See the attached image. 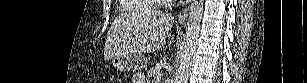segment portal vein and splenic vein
Returning a JSON list of instances; mask_svg holds the SVG:
<instances>
[{
  "mask_svg": "<svg viewBox=\"0 0 307 83\" xmlns=\"http://www.w3.org/2000/svg\"><path fill=\"white\" fill-rule=\"evenodd\" d=\"M163 76V74L159 73L158 74V79H160Z\"/></svg>",
  "mask_w": 307,
  "mask_h": 83,
  "instance_id": "obj_1",
  "label": "portal vein and splenic vein"
}]
</instances>
